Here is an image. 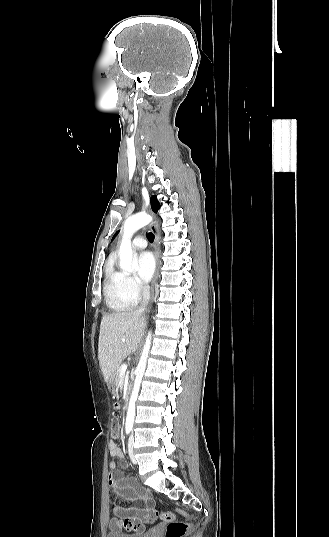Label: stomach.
Instances as JSON below:
<instances>
[{
    "label": "stomach",
    "mask_w": 329,
    "mask_h": 537,
    "mask_svg": "<svg viewBox=\"0 0 329 537\" xmlns=\"http://www.w3.org/2000/svg\"><path fill=\"white\" fill-rule=\"evenodd\" d=\"M108 386L113 388L115 386V374H113L108 380Z\"/></svg>",
    "instance_id": "1"
}]
</instances>
